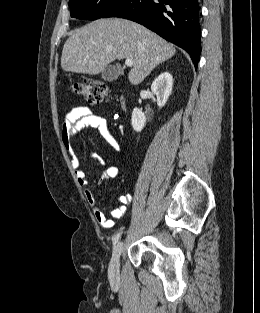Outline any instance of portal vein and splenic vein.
Wrapping results in <instances>:
<instances>
[{
  "mask_svg": "<svg viewBox=\"0 0 260 313\" xmlns=\"http://www.w3.org/2000/svg\"><path fill=\"white\" fill-rule=\"evenodd\" d=\"M125 65L128 67H132L133 66V60L132 59H126L125 60Z\"/></svg>",
  "mask_w": 260,
  "mask_h": 313,
  "instance_id": "obj_1",
  "label": "portal vein and splenic vein"
}]
</instances>
